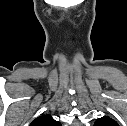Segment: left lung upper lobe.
Here are the masks:
<instances>
[{"mask_svg":"<svg viewBox=\"0 0 127 126\" xmlns=\"http://www.w3.org/2000/svg\"><path fill=\"white\" fill-rule=\"evenodd\" d=\"M94 126H118L117 122L108 116L99 118Z\"/></svg>","mask_w":127,"mask_h":126,"instance_id":"1","label":"left lung upper lobe"}]
</instances>
